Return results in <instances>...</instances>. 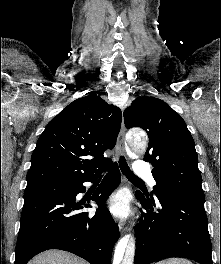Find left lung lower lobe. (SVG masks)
<instances>
[{"instance_id": "0a47b994", "label": "left lung lower lobe", "mask_w": 221, "mask_h": 264, "mask_svg": "<svg viewBox=\"0 0 221 264\" xmlns=\"http://www.w3.org/2000/svg\"><path fill=\"white\" fill-rule=\"evenodd\" d=\"M136 197L145 211L135 227L134 264H150L170 257L213 264L204 200L157 194L160 204L156 205L153 197L140 192H136Z\"/></svg>"}]
</instances>
